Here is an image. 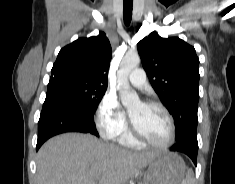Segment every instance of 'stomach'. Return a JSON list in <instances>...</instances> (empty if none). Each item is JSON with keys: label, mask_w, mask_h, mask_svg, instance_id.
<instances>
[{"label": "stomach", "mask_w": 235, "mask_h": 184, "mask_svg": "<svg viewBox=\"0 0 235 184\" xmlns=\"http://www.w3.org/2000/svg\"><path fill=\"white\" fill-rule=\"evenodd\" d=\"M186 170L184 160L177 154H159L148 164L143 184H182Z\"/></svg>", "instance_id": "1"}]
</instances>
